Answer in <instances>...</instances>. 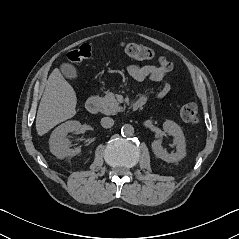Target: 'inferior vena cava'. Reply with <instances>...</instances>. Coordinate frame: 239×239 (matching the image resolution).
<instances>
[{
    "mask_svg": "<svg viewBox=\"0 0 239 239\" xmlns=\"http://www.w3.org/2000/svg\"><path fill=\"white\" fill-rule=\"evenodd\" d=\"M101 125L104 128H111L114 125V120L110 117H103L101 119Z\"/></svg>",
    "mask_w": 239,
    "mask_h": 239,
    "instance_id": "inferior-vena-cava-1",
    "label": "inferior vena cava"
}]
</instances>
